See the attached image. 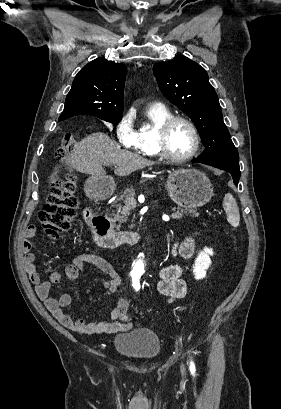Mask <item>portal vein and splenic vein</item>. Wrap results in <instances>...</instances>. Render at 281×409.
Instances as JSON below:
<instances>
[{
  "label": "portal vein and splenic vein",
  "instance_id": "18ae733b",
  "mask_svg": "<svg viewBox=\"0 0 281 409\" xmlns=\"http://www.w3.org/2000/svg\"><path fill=\"white\" fill-rule=\"evenodd\" d=\"M103 164H105V166H109V162H103ZM136 197L135 196H129L128 197V201H127V206L128 207H134L135 206V202H136ZM184 213L183 212H174L172 215V219H180V217H183Z\"/></svg>",
  "mask_w": 281,
  "mask_h": 409
}]
</instances>
